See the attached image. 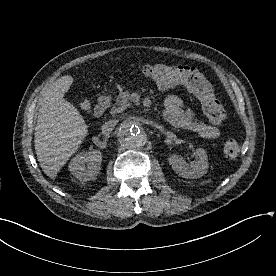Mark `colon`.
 I'll list each match as a JSON object with an SVG mask.
<instances>
[{
    "label": "colon",
    "mask_w": 276,
    "mask_h": 276,
    "mask_svg": "<svg viewBox=\"0 0 276 276\" xmlns=\"http://www.w3.org/2000/svg\"><path fill=\"white\" fill-rule=\"evenodd\" d=\"M141 71L163 88L179 85L188 88L200 101L204 115L209 122L220 124L225 120L224 106L215 95L213 85L198 69L187 65L145 64L141 67ZM81 107L84 111L90 108L87 102H83ZM239 151L240 147L235 139L224 140L222 154L226 159L237 157Z\"/></svg>",
    "instance_id": "1"
}]
</instances>
